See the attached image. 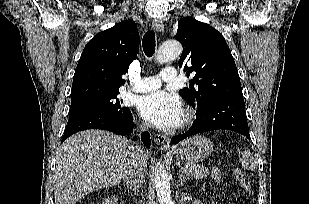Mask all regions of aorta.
<instances>
[{
    "mask_svg": "<svg viewBox=\"0 0 309 204\" xmlns=\"http://www.w3.org/2000/svg\"><path fill=\"white\" fill-rule=\"evenodd\" d=\"M182 53V45L177 41H165L156 55L157 63H166L178 58ZM155 186L159 204H173L169 177L163 165L156 166Z\"/></svg>",
    "mask_w": 309,
    "mask_h": 204,
    "instance_id": "aorta-1",
    "label": "aorta"
}]
</instances>
